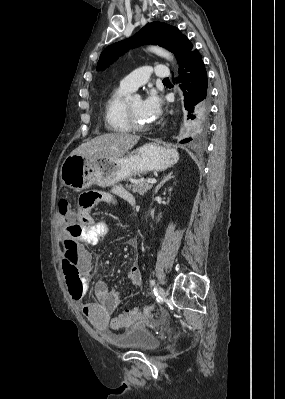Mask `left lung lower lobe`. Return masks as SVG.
I'll list each match as a JSON object with an SVG mask.
<instances>
[{"label":"left lung lower lobe","instance_id":"left-lung-lower-lobe-1","mask_svg":"<svg viewBox=\"0 0 285 399\" xmlns=\"http://www.w3.org/2000/svg\"><path fill=\"white\" fill-rule=\"evenodd\" d=\"M179 81L184 93V106L192 121V131L199 137L206 126L209 115L210 95L207 90V73L200 53L192 49L185 54L179 64ZM186 138L180 143L190 142Z\"/></svg>","mask_w":285,"mask_h":399}]
</instances>
